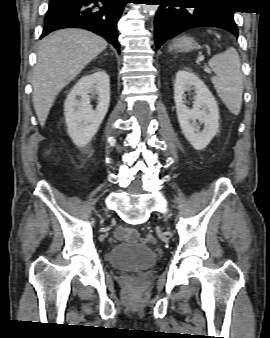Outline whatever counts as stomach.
<instances>
[{"label": "stomach", "mask_w": 270, "mask_h": 338, "mask_svg": "<svg viewBox=\"0 0 270 338\" xmlns=\"http://www.w3.org/2000/svg\"><path fill=\"white\" fill-rule=\"evenodd\" d=\"M197 42L193 37L181 36L176 38L169 46V51L174 52H190L195 50Z\"/></svg>", "instance_id": "0dacf381"}]
</instances>
